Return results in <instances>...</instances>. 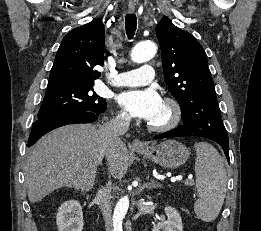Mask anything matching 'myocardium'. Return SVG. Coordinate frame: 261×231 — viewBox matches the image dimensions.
Wrapping results in <instances>:
<instances>
[{
    "instance_id": "f54148a6",
    "label": "myocardium",
    "mask_w": 261,
    "mask_h": 231,
    "mask_svg": "<svg viewBox=\"0 0 261 231\" xmlns=\"http://www.w3.org/2000/svg\"><path fill=\"white\" fill-rule=\"evenodd\" d=\"M162 102L166 104L170 111L169 119L162 124L148 123L147 127L154 132H168L175 129L182 119V108L180 103L173 97L166 96Z\"/></svg>"
}]
</instances>
